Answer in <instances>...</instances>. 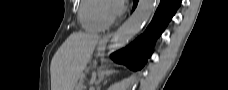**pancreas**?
<instances>
[{
  "instance_id": "obj_1",
  "label": "pancreas",
  "mask_w": 228,
  "mask_h": 90,
  "mask_svg": "<svg viewBox=\"0 0 228 90\" xmlns=\"http://www.w3.org/2000/svg\"><path fill=\"white\" fill-rule=\"evenodd\" d=\"M86 86L83 84V80H80L77 85L75 90H85Z\"/></svg>"
}]
</instances>
